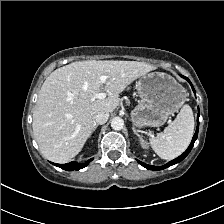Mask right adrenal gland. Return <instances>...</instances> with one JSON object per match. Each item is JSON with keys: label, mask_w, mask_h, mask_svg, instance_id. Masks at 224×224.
<instances>
[{"label": "right adrenal gland", "mask_w": 224, "mask_h": 224, "mask_svg": "<svg viewBox=\"0 0 224 224\" xmlns=\"http://www.w3.org/2000/svg\"><path fill=\"white\" fill-rule=\"evenodd\" d=\"M99 126V124H96L93 128V132L97 129V127Z\"/></svg>", "instance_id": "1"}]
</instances>
